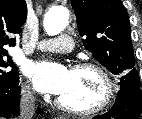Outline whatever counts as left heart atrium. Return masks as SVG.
I'll use <instances>...</instances> for the list:
<instances>
[{"label": "left heart atrium", "instance_id": "39dd6f15", "mask_svg": "<svg viewBox=\"0 0 142 119\" xmlns=\"http://www.w3.org/2000/svg\"><path fill=\"white\" fill-rule=\"evenodd\" d=\"M27 74L38 91L55 95H61L66 90L70 79V70L49 62L29 65Z\"/></svg>", "mask_w": 142, "mask_h": 119}]
</instances>
